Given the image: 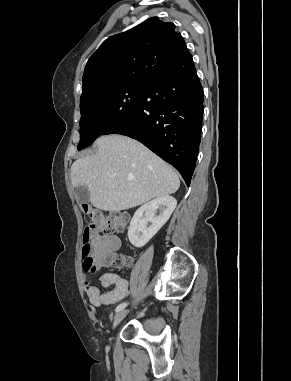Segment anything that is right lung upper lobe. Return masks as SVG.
Returning <instances> with one entry per match:
<instances>
[{
  "mask_svg": "<svg viewBox=\"0 0 291 381\" xmlns=\"http://www.w3.org/2000/svg\"><path fill=\"white\" fill-rule=\"evenodd\" d=\"M186 49L175 25L158 17L109 37L85 66L80 103L107 88L147 82Z\"/></svg>",
  "mask_w": 291,
  "mask_h": 381,
  "instance_id": "cb5924a9",
  "label": "right lung upper lobe"
}]
</instances>
